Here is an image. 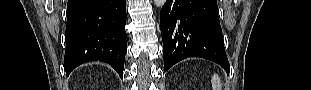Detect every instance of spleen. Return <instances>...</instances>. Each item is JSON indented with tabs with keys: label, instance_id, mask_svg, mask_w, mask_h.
<instances>
[{
	"label": "spleen",
	"instance_id": "obj_1",
	"mask_svg": "<svg viewBox=\"0 0 311 90\" xmlns=\"http://www.w3.org/2000/svg\"><path fill=\"white\" fill-rule=\"evenodd\" d=\"M211 83L213 90H222L221 80L218 75L215 74L212 76Z\"/></svg>",
	"mask_w": 311,
	"mask_h": 90
}]
</instances>
